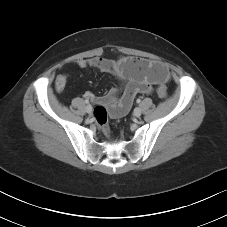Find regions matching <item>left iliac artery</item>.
<instances>
[{
    "mask_svg": "<svg viewBox=\"0 0 227 227\" xmlns=\"http://www.w3.org/2000/svg\"><path fill=\"white\" fill-rule=\"evenodd\" d=\"M136 102H137V103H140V102H141V100H140V99H137V100H136Z\"/></svg>",
    "mask_w": 227,
    "mask_h": 227,
    "instance_id": "44dca946",
    "label": "left iliac artery"
}]
</instances>
